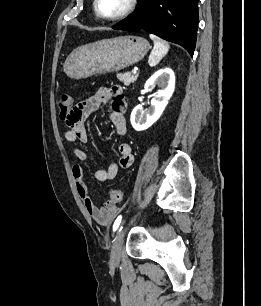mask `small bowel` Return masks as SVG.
<instances>
[{
    "instance_id": "small-bowel-1",
    "label": "small bowel",
    "mask_w": 261,
    "mask_h": 306,
    "mask_svg": "<svg viewBox=\"0 0 261 306\" xmlns=\"http://www.w3.org/2000/svg\"><path fill=\"white\" fill-rule=\"evenodd\" d=\"M110 102V118L117 133L124 135L126 133L125 100L122 96V88L119 85H115L110 88H98L91 97L80 102L73 108L69 117L65 119L68 127L64 133L65 140L74 144L87 143L88 133L85 121L101 104H108ZM118 153L120 155L118 162L110 164L107 169H98L95 171V178L98 181L106 182L112 180L117 176L120 169H127L133 164L134 156L129 143L122 142L119 144ZM72 155L80 162L87 160V153L79 147L72 149ZM72 174L78 195L87 213L99 225H107L118 211L117 203L113 200H108L101 207L95 205L86 186L80 164H74L72 166Z\"/></svg>"
}]
</instances>
